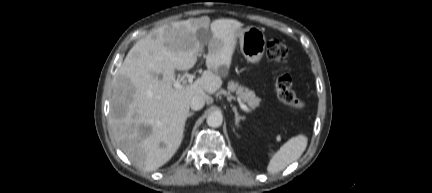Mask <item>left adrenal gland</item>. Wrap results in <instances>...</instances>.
<instances>
[{
  "label": "left adrenal gland",
  "instance_id": "obj_1",
  "mask_svg": "<svg viewBox=\"0 0 432 193\" xmlns=\"http://www.w3.org/2000/svg\"><path fill=\"white\" fill-rule=\"evenodd\" d=\"M233 111L235 113V125L236 127H239V122L240 120H244V117L238 114L237 108L235 106L233 107Z\"/></svg>",
  "mask_w": 432,
  "mask_h": 193
}]
</instances>
